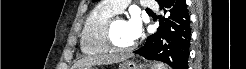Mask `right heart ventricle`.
<instances>
[{
    "mask_svg": "<svg viewBox=\"0 0 246 69\" xmlns=\"http://www.w3.org/2000/svg\"><path fill=\"white\" fill-rule=\"evenodd\" d=\"M116 14L104 1L96 6L84 23L81 50L85 54H106L110 47L106 42V28L110 19Z\"/></svg>",
    "mask_w": 246,
    "mask_h": 69,
    "instance_id": "e07e8e85",
    "label": "right heart ventricle"
}]
</instances>
